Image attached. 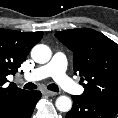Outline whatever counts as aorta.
I'll use <instances>...</instances> for the list:
<instances>
[{
  "label": "aorta",
  "instance_id": "1",
  "mask_svg": "<svg viewBox=\"0 0 118 118\" xmlns=\"http://www.w3.org/2000/svg\"><path fill=\"white\" fill-rule=\"evenodd\" d=\"M51 56V49L44 44L35 45L31 50L32 59L39 64L47 63L51 59ZM55 104L56 108L61 112H68L72 108V100L63 95L56 99Z\"/></svg>",
  "mask_w": 118,
  "mask_h": 118
}]
</instances>
